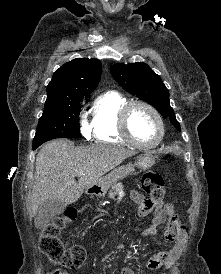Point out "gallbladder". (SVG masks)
Segmentation results:
<instances>
[{
  "label": "gallbladder",
  "instance_id": "obj_1",
  "mask_svg": "<svg viewBox=\"0 0 221 274\" xmlns=\"http://www.w3.org/2000/svg\"><path fill=\"white\" fill-rule=\"evenodd\" d=\"M66 204L62 201L46 200L37 211L35 222L44 224L49 222L54 216L60 215L66 208Z\"/></svg>",
  "mask_w": 221,
  "mask_h": 274
}]
</instances>
